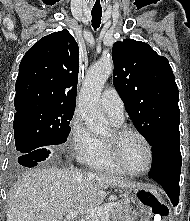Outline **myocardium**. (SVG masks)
I'll use <instances>...</instances> for the list:
<instances>
[{
	"label": "myocardium",
	"instance_id": "obj_1",
	"mask_svg": "<svg viewBox=\"0 0 190 221\" xmlns=\"http://www.w3.org/2000/svg\"><path fill=\"white\" fill-rule=\"evenodd\" d=\"M127 134H135L143 141L146 146L148 152V162L143 170H131L124 164L122 160L120 143L123 137ZM106 142L114 162L124 173L134 176H140L150 171L154 159L153 148L148 138L138 129L130 126H118L111 132V135L106 138Z\"/></svg>",
	"mask_w": 190,
	"mask_h": 221
}]
</instances>
